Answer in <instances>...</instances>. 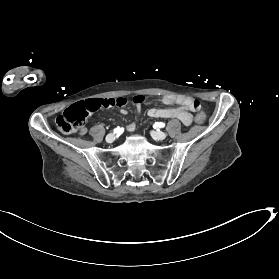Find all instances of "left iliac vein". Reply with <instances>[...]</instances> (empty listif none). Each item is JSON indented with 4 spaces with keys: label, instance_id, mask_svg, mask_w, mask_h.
I'll return each mask as SVG.
<instances>
[{
    "label": "left iliac vein",
    "instance_id": "left-iliac-vein-1",
    "mask_svg": "<svg viewBox=\"0 0 279 279\" xmlns=\"http://www.w3.org/2000/svg\"><path fill=\"white\" fill-rule=\"evenodd\" d=\"M151 136L158 140H164L167 135H166V133L161 132V131H152Z\"/></svg>",
    "mask_w": 279,
    "mask_h": 279
}]
</instances>
